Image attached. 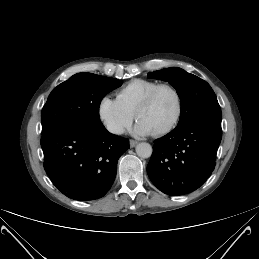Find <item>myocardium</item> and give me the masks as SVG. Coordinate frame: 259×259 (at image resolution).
Returning a JSON list of instances; mask_svg holds the SVG:
<instances>
[{
    "instance_id": "1",
    "label": "myocardium",
    "mask_w": 259,
    "mask_h": 259,
    "mask_svg": "<svg viewBox=\"0 0 259 259\" xmlns=\"http://www.w3.org/2000/svg\"><path fill=\"white\" fill-rule=\"evenodd\" d=\"M163 89H167L171 91L175 98H176V103H177V111L175 114V117L173 120L163 129L151 132V134L155 137L163 136L168 133H170L172 130H174L177 125L179 124L182 114H183V100L180 91L173 86L172 84L169 83H162L158 84L156 87H154L143 99L141 102L140 106L138 107V110L136 112V119L138 122H140V118L142 114L152 105V103L155 100L156 95Z\"/></svg>"
}]
</instances>
